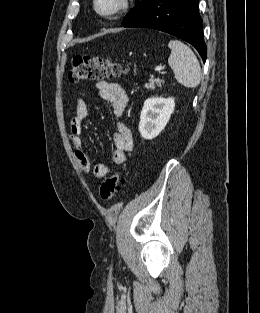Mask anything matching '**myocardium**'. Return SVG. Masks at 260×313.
Here are the masks:
<instances>
[{
	"instance_id": "obj_1",
	"label": "myocardium",
	"mask_w": 260,
	"mask_h": 313,
	"mask_svg": "<svg viewBox=\"0 0 260 313\" xmlns=\"http://www.w3.org/2000/svg\"><path fill=\"white\" fill-rule=\"evenodd\" d=\"M99 0H93L94 11L101 17L111 18L126 11L130 5V0H118L117 5L109 11H101L98 7Z\"/></svg>"
}]
</instances>
